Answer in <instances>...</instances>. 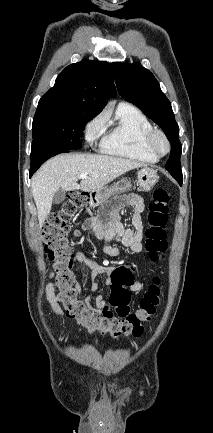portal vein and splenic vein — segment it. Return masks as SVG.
<instances>
[{
	"label": "portal vein and splenic vein",
	"instance_id": "18ae733b",
	"mask_svg": "<svg viewBox=\"0 0 213 433\" xmlns=\"http://www.w3.org/2000/svg\"><path fill=\"white\" fill-rule=\"evenodd\" d=\"M79 178H80V179H85V178H88V176H87V174H84V173H83V174H80V175H79Z\"/></svg>",
	"mask_w": 213,
	"mask_h": 433
}]
</instances>
